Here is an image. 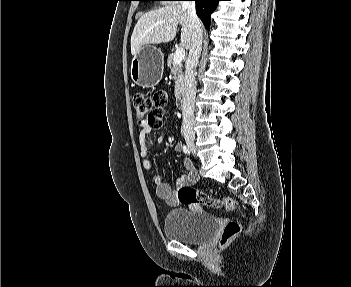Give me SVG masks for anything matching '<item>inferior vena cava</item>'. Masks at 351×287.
Masks as SVG:
<instances>
[{
    "label": "inferior vena cava",
    "instance_id": "inferior-vena-cava-1",
    "mask_svg": "<svg viewBox=\"0 0 351 287\" xmlns=\"http://www.w3.org/2000/svg\"><path fill=\"white\" fill-rule=\"evenodd\" d=\"M182 7L187 10L193 29L189 55L185 64L184 94L182 98V134L185 139H195L194 133V106L196 96V81L194 69L198 64L202 49V27L201 21L196 14L195 1H182Z\"/></svg>",
    "mask_w": 351,
    "mask_h": 287
}]
</instances>
